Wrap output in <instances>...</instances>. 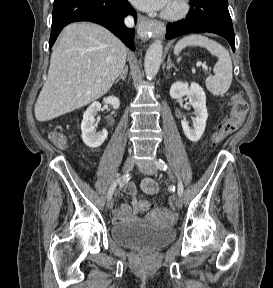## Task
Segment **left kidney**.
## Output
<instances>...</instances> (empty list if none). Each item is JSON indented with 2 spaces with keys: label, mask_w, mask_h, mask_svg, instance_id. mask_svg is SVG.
Returning a JSON list of instances; mask_svg holds the SVG:
<instances>
[{
  "label": "left kidney",
  "mask_w": 273,
  "mask_h": 288,
  "mask_svg": "<svg viewBox=\"0 0 273 288\" xmlns=\"http://www.w3.org/2000/svg\"><path fill=\"white\" fill-rule=\"evenodd\" d=\"M187 95L189 102L194 109V127L190 128L185 120L181 121L182 129L185 136L192 142H197L202 137L206 128L208 118L206 108V95L203 88L192 82L190 85L187 82L177 81L170 88V96L173 99H179Z\"/></svg>",
  "instance_id": "5707ae66"
}]
</instances>
